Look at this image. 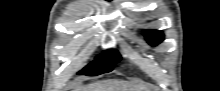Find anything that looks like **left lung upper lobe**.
Masks as SVG:
<instances>
[{"mask_svg": "<svg viewBox=\"0 0 220 91\" xmlns=\"http://www.w3.org/2000/svg\"><path fill=\"white\" fill-rule=\"evenodd\" d=\"M145 37L149 44L157 45L163 40V34L157 31H147Z\"/></svg>", "mask_w": 220, "mask_h": 91, "instance_id": "5c2ea615", "label": "left lung upper lobe"}]
</instances>
